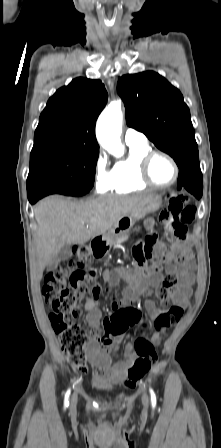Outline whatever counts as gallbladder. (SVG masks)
I'll return each mask as SVG.
<instances>
[{
	"mask_svg": "<svg viewBox=\"0 0 221 448\" xmlns=\"http://www.w3.org/2000/svg\"><path fill=\"white\" fill-rule=\"evenodd\" d=\"M71 248L72 244H65L63 247L59 250L57 255L53 258L51 263L49 264V268L53 269L56 264H58L60 261L68 259L71 255Z\"/></svg>",
	"mask_w": 221,
	"mask_h": 448,
	"instance_id": "gallbladder-1",
	"label": "gallbladder"
}]
</instances>
